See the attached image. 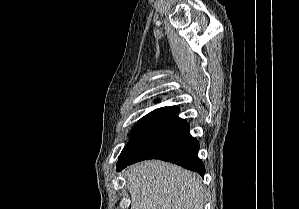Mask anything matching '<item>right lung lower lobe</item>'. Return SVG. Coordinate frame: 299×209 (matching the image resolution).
I'll return each instance as SVG.
<instances>
[{"instance_id":"98d812e1","label":"right lung lower lobe","mask_w":299,"mask_h":209,"mask_svg":"<svg viewBox=\"0 0 299 209\" xmlns=\"http://www.w3.org/2000/svg\"><path fill=\"white\" fill-rule=\"evenodd\" d=\"M178 113L176 106L156 109L122 150L117 171L142 160L160 159L204 176L205 166L198 158L199 143Z\"/></svg>"}]
</instances>
